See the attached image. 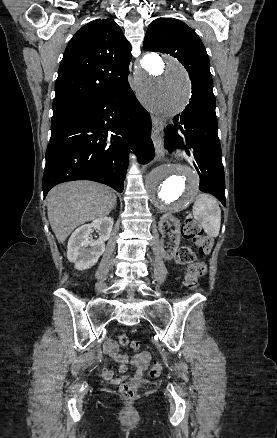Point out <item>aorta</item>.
I'll use <instances>...</instances> for the list:
<instances>
[{
  "label": "aorta",
  "mask_w": 277,
  "mask_h": 438,
  "mask_svg": "<svg viewBox=\"0 0 277 438\" xmlns=\"http://www.w3.org/2000/svg\"><path fill=\"white\" fill-rule=\"evenodd\" d=\"M136 93L153 115L173 118L189 100V80L183 66L170 56L146 54L135 70ZM198 175L182 154L153 169L146 178L147 195L153 208L175 213L185 209L198 190Z\"/></svg>",
  "instance_id": "obj_1"
}]
</instances>
